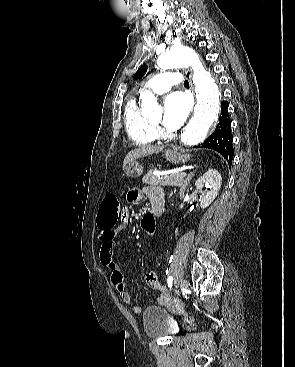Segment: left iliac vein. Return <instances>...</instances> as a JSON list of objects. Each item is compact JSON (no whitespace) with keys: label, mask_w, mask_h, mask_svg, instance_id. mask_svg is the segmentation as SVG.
I'll return each mask as SVG.
<instances>
[{"label":"left iliac vein","mask_w":295,"mask_h":367,"mask_svg":"<svg viewBox=\"0 0 295 367\" xmlns=\"http://www.w3.org/2000/svg\"><path fill=\"white\" fill-rule=\"evenodd\" d=\"M179 286H180V289H181L182 291L186 290V289H187V287H188V282H187V280H185V279L181 280V282H180Z\"/></svg>","instance_id":"left-iliac-vein-1"}]
</instances>
